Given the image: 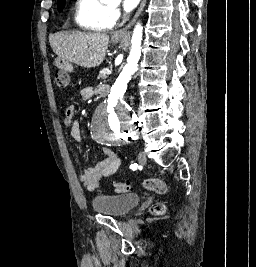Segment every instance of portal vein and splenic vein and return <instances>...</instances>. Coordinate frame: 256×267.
Here are the masks:
<instances>
[{
	"label": "portal vein and splenic vein",
	"mask_w": 256,
	"mask_h": 267,
	"mask_svg": "<svg viewBox=\"0 0 256 267\" xmlns=\"http://www.w3.org/2000/svg\"><path fill=\"white\" fill-rule=\"evenodd\" d=\"M105 73H106V74H109V73H110L109 68H106Z\"/></svg>",
	"instance_id": "portal-vein-and-splenic-vein-1"
}]
</instances>
